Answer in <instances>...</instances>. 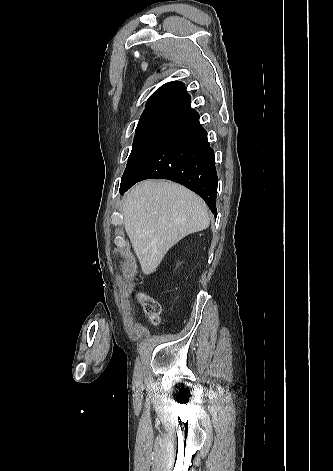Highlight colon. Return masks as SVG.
<instances>
[{"label": "colon", "mask_w": 333, "mask_h": 471, "mask_svg": "<svg viewBox=\"0 0 333 471\" xmlns=\"http://www.w3.org/2000/svg\"><path fill=\"white\" fill-rule=\"evenodd\" d=\"M139 302L143 309L144 314L149 318L153 324H158L159 316L161 313L160 305L154 299L147 296H140Z\"/></svg>", "instance_id": "1"}]
</instances>
